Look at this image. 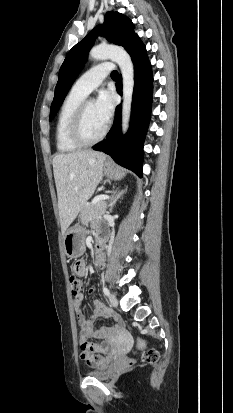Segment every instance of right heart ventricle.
<instances>
[{"instance_id":"1","label":"right heart ventricle","mask_w":233,"mask_h":413,"mask_svg":"<svg viewBox=\"0 0 233 413\" xmlns=\"http://www.w3.org/2000/svg\"><path fill=\"white\" fill-rule=\"evenodd\" d=\"M85 97V94L71 89L61 105L55 131L56 146L60 152L69 153L80 148L79 145L71 140L69 128L77 108L84 101Z\"/></svg>"}]
</instances>
